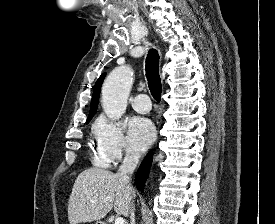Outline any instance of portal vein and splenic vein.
Returning <instances> with one entry per match:
<instances>
[{
	"instance_id": "1",
	"label": "portal vein and splenic vein",
	"mask_w": 275,
	"mask_h": 224,
	"mask_svg": "<svg viewBox=\"0 0 275 224\" xmlns=\"http://www.w3.org/2000/svg\"><path fill=\"white\" fill-rule=\"evenodd\" d=\"M114 224H125V220L122 217H117Z\"/></svg>"
}]
</instances>
